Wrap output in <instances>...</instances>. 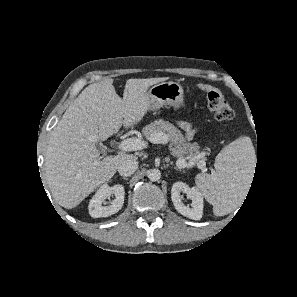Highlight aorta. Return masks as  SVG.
<instances>
[{"mask_svg": "<svg viewBox=\"0 0 297 297\" xmlns=\"http://www.w3.org/2000/svg\"><path fill=\"white\" fill-rule=\"evenodd\" d=\"M147 176L151 181H158L161 178V172L158 169H150Z\"/></svg>", "mask_w": 297, "mask_h": 297, "instance_id": "aorta-1", "label": "aorta"}]
</instances>
